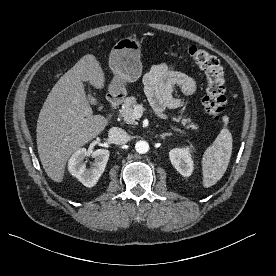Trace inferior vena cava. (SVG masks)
<instances>
[{"label": "inferior vena cava", "mask_w": 276, "mask_h": 276, "mask_svg": "<svg viewBox=\"0 0 276 276\" xmlns=\"http://www.w3.org/2000/svg\"><path fill=\"white\" fill-rule=\"evenodd\" d=\"M109 138L112 143L117 145H123L126 144L129 140V136L127 132L121 128L118 127H112L108 131Z\"/></svg>", "instance_id": "inferior-vena-cava-1"}]
</instances>
